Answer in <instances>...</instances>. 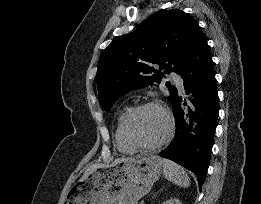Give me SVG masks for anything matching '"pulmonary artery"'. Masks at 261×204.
Wrapping results in <instances>:
<instances>
[{
    "mask_svg": "<svg viewBox=\"0 0 261 204\" xmlns=\"http://www.w3.org/2000/svg\"><path fill=\"white\" fill-rule=\"evenodd\" d=\"M171 78L176 83V85L179 88V90L182 91L183 90V80H182V78L179 75L175 74V73L171 74Z\"/></svg>",
    "mask_w": 261,
    "mask_h": 204,
    "instance_id": "pulmonary-artery-1",
    "label": "pulmonary artery"
}]
</instances>
